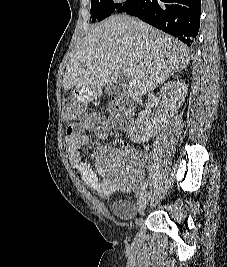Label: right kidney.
I'll return each instance as SVG.
<instances>
[{"label":"right kidney","instance_id":"obj_1","mask_svg":"<svg viewBox=\"0 0 227 267\" xmlns=\"http://www.w3.org/2000/svg\"><path fill=\"white\" fill-rule=\"evenodd\" d=\"M188 86L183 81H170L161 88L162 110L153 118L145 119L147 112L141 111L137 120L129 129V136L134 143H145L154 137L164 123L174 115L184 102Z\"/></svg>","mask_w":227,"mask_h":267}]
</instances>
